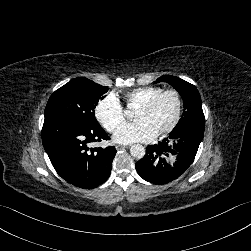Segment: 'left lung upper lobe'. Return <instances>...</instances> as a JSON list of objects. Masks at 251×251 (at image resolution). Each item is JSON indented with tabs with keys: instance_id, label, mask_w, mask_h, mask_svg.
<instances>
[{
	"instance_id": "obj_1",
	"label": "left lung upper lobe",
	"mask_w": 251,
	"mask_h": 251,
	"mask_svg": "<svg viewBox=\"0 0 251 251\" xmlns=\"http://www.w3.org/2000/svg\"><path fill=\"white\" fill-rule=\"evenodd\" d=\"M162 81L172 85L179 92L184 102L183 115L172 131L183 128L204 131L205 118L202 110L201 97L197 88L175 76H161L155 83Z\"/></svg>"
}]
</instances>
